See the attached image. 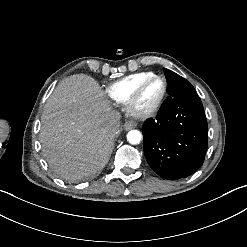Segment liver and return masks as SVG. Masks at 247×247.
Masks as SVG:
<instances>
[{
    "mask_svg": "<svg viewBox=\"0 0 247 247\" xmlns=\"http://www.w3.org/2000/svg\"><path fill=\"white\" fill-rule=\"evenodd\" d=\"M113 119L122 123L97 80L85 74L64 79L41 118L40 142L50 167L71 182L101 171L113 150Z\"/></svg>",
    "mask_w": 247,
    "mask_h": 247,
    "instance_id": "liver-1",
    "label": "liver"
}]
</instances>
